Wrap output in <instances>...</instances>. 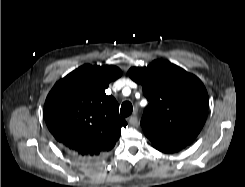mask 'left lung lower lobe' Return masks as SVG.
<instances>
[{"mask_svg": "<svg viewBox=\"0 0 245 187\" xmlns=\"http://www.w3.org/2000/svg\"><path fill=\"white\" fill-rule=\"evenodd\" d=\"M153 146L161 152L173 153L185 148L187 145L179 144V145H153Z\"/></svg>", "mask_w": 245, "mask_h": 187, "instance_id": "obj_1", "label": "left lung lower lobe"}]
</instances>
